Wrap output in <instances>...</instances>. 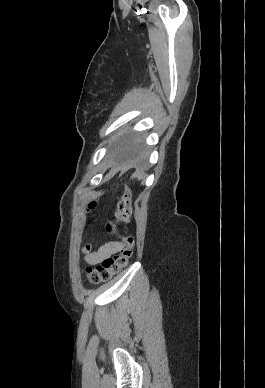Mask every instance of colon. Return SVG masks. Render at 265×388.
I'll return each mask as SVG.
<instances>
[{
	"instance_id": "obj_1",
	"label": "colon",
	"mask_w": 265,
	"mask_h": 388,
	"mask_svg": "<svg viewBox=\"0 0 265 388\" xmlns=\"http://www.w3.org/2000/svg\"><path fill=\"white\" fill-rule=\"evenodd\" d=\"M96 203L91 202L88 205V210L95 208ZM133 213L132 193L129 189H125L117 204V211L114 220L106 224V230L110 234H117V224L128 223ZM123 249L112 256L103 259L95 267H88L86 270L87 277L91 283L98 284L109 281L114 275L122 271L128 264L132 255L134 240L131 236H121ZM91 250V245L86 244L85 252Z\"/></svg>"
}]
</instances>
